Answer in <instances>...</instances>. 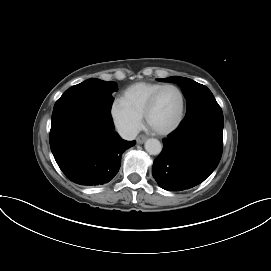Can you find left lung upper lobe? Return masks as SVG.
Here are the masks:
<instances>
[{
  "label": "left lung upper lobe",
  "instance_id": "1",
  "mask_svg": "<svg viewBox=\"0 0 271 271\" xmlns=\"http://www.w3.org/2000/svg\"><path fill=\"white\" fill-rule=\"evenodd\" d=\"M158 80L161 82H175L182 87L183 94L187 100L186 114L199 106L217 103L213 94L206 86L189 78L173 76Z\"/></svg>",
  "mask_w": 271,
  "mask_h": 271
}]
</instances>
